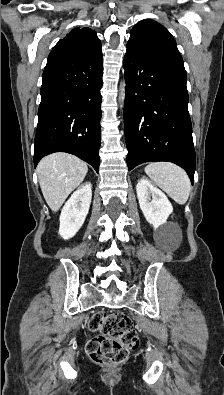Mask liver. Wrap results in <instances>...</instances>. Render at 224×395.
Listing matches in <instances>:
<instances>
[{
  "instance_id": "obj_1",
  "label": "liver",
  "mask_w": 224,
  "mask_h": 395,
  "mask_svg": "<svg viewBox=\"0 0 224 395\" xmlns=\"http://www.w3.org/2000/svg\"><path fill=\"white\" fill-rule=\"evenodd\" d=\"M36 171L46 203L56 212L68 195L83 182L88 167L73 155L54 153L44 157Z\"/></svg>"
}]
</instances>
